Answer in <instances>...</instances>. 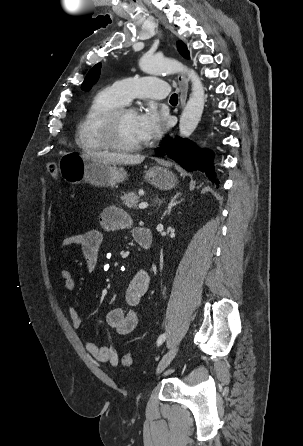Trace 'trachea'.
Returning <instances> with one entry per match:
<instances>
[{"instance_id": "1", "label": "trachea", "mask_w": 303, "mask_h": 446, "mask_svg": "<svg viewBox=\"0 0 303 446\" xmlns=\"http://www.w3.org/2000/svg\"><path fill=\"white\" fill-rule=\"evenodd\" d=\"M170 102L171 103H177L178 102V95L177 94H173L170 98Z\"/></svg>"}]
</instances>
